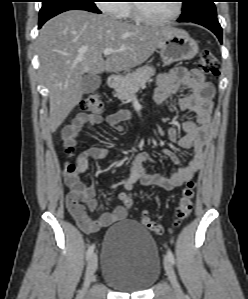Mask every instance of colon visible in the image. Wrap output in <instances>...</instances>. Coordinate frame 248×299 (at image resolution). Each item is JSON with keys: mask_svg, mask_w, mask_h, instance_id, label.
I'll return each mask as SVG.
<instances>
[{"mask_svg": "<svg viewBox=\"0 0 248 299\" xmlns=\"http://www.w3.org/2000/svg\"><path fill=\"white\" fill-rule=\"evenodd\" d=\"M198 66L200 70L212 78H218L220 75V64L215 54L209 49H203L200 52L198 59ZM104 104L99 92L90 93L81 103V109L92 114H99L103 111ZM73 146L66 145L65 153L70 156L73 154ZM66 183L69 187L67 194V208L73 216L83 217L85 214V207L82 204L83 198V183L77 178V168L74 164L68 163L65 167ZM195 197V184L193 181H188L182 190L180 199L175 209V219L173 226L179 227L182 222L189 216L193 209ZM124 207L130 208L132 200L125 199ZM141 222L143 226L157 234L164 232L163 226L152 219H150L146 212L142 214Z\"/></svg>", "mask_w": 248, "mask_h": 299, "instance_id": "obj_1", "label": "colon"}]
</instances>
